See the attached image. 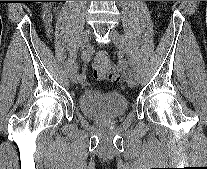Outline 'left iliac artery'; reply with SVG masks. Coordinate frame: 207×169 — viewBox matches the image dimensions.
<instances>
[{"label":"left iliac artery","instance_id":"left-iliac-artery-1","mask_svg":"<svg viewBox=\"0 0 207 169\" xmlns=\"http://www.w3.org/2000/svg\"><path fill=\"white\" fill-rule=\"evenodd\" d=\"M128 64L129 63L127 59H119V72H124V74L137 75L136 69L133 66V62H130V65Z\"/></svg>","mask_w":207,"mask_h":169}]
</instances>
